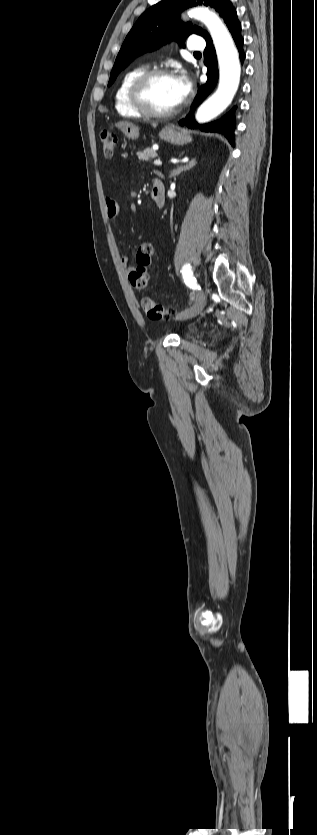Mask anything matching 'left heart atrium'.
Listing matches in <instances>:
<instances>
[{
	"label": "left heart atrium",
	"mask_w": 317,
	"mask_h": 835,
	"mask_svg": "<svg viewBox=\"0 0 317 835\" xmlns=\"http://www.w3.org/2000/svg\"><path fill=\"white\" fill-rule=\"evenodd\" d=\"M177 102H182L191 90V83L185 74L174 77Z\"/></svg>",
	"instance_id": "obj_1"
}]
</instances>
